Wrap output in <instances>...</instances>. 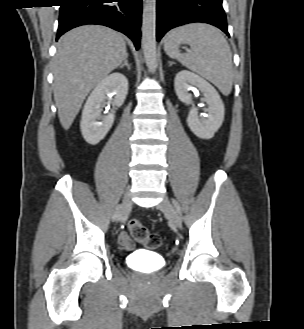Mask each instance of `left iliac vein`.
<instances>
[{
    "label": "left iliac vein",
    "instance_id": "4c4485c4",
    "mask_svg": "<svg viewBox=\"0 0 304 329\" xmlns=\"http://www.w3.org/2000/svg\"><path fill=\"white\" fill-rule=\"evenodd\" d=\"M158 208L167 214L170 218V221L178 228L182 225V218L180 213L172 205L168 197H164L163 201L158 205Z\"/></svg>",
    "mask_w": 304,
    "mask_h": 329
}]
</instances>
